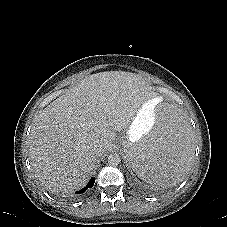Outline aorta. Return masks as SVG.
<instances>
[{
	"instance_id": "1",
	"label": "aorta",
	"mask_w": 227,
	"mask_h": 227,
	"mask_svg": "<svg viewBox=\"0 0 227 227\" xmlns=\"http://www.w3.org/2000/svg\"><path fill=\"white\" fill-rule=\"evenodd\" d=\"M121 162V158L117 153H111L108 156V163L113 166H117Z\"/></svg>"
}]
</instances>
